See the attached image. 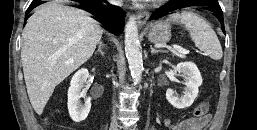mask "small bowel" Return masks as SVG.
I'll list each match as a JSON object with an SVG mask.
<instances>
[{
	"label": "small bowel",
	"instance_id": "1",
	"mask_svg": "<svg viewBox=\"0 0 257 130\" xmlns=\"http://www.w3.org/2000/svg\"><path fill=\"white\" fill-rule=\"evenodd\" d=\"M209 120V116H205L204 118H190L185 119L177 123H171L170 121H166L165 125L169 128V130H201Z\"/></svg>",
	"mask_w": 257,
	"mask_h": 130
}]
</instances>
